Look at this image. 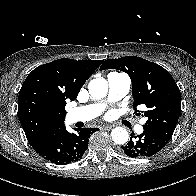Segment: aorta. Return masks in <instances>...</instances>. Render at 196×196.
<instances>
[{
	"label": "aorta",
	"mask_w": 196,
	"mask_h": 196,
	"mask_svg": "<svg viewBox=\"0 0 196 196\" xmlns=\"http://www.w3.org/2000/svg\"><path fill=\"white\" fill-rule=\"evenodd\" d=\"M88 89L94 98L101 99L107 95L108 84L104 78H96L90 81ZM111 137L116 144L122 145L128 141L129 134L126 128L116 127L112 130Z\"/></svg>",
	"instance_id": "762f6f07"
}]
</instances>
